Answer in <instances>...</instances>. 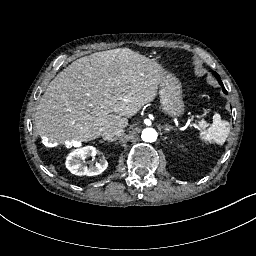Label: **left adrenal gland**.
Masks as SVG:
<instances>
[{
  "label": "left adrenal gland",
  "mask_w": 256,
  "mask_h": 256,
  "mask_svg": "<svg viewBox=\"0 0 256 256\" xmlns=\"http://www.w3.org/2000/svg\"><path fill=\"white\" fill-rule=\"evenodd\" d=\"M164 130L167 132V133H170L172 130L177 132V129L173 128L172 126H168V125H165L164 126Z\"/></svg>",
  "instance_id": "a2214340"
}]
</instances>
